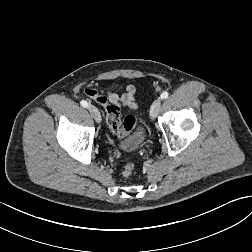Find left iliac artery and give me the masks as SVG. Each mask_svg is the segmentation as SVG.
<instances>
[{
    "label": "left iliac artery",
    "instance_id": "left-iliac-artery-1",
    "mask_svg": "<svg viewBox=\"0 0 252 252\" xmlns=\"http://www.w3.org/2000/svg\"><path fill=\"white\" fill-rule=\"evenodd\" d=\"M168 92L167 91H164L162 94H161V99H166L168 97Z\"/></svg>",
    "mask_w": 252,
    "mask_h": 252
}]
</instances>
